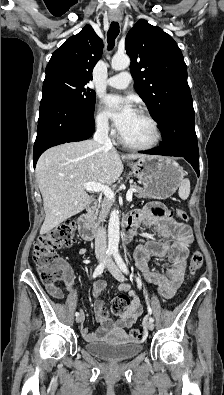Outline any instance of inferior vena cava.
<instances>
[{
  "instance_id": "1",
  "label": "inferior vena cava",
  "mask_w": 224,
  "mask_h": 395,
  "mask_svg": "<svg viewBox=\"0 0 224 395\" xmlns=\"http://www.w3.org/2000/svg\"><path fill=\"white\" fill-rule=\"evenodd\" d=\"M109 126L108 121L103 120L97 124V129L94 134V141L107 149L113 148L112 142L108 136ZM106 229L99 227L95 235V252L96 254H105L107 250Z\"/></svg>"
}]
</instances>
